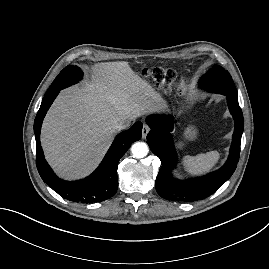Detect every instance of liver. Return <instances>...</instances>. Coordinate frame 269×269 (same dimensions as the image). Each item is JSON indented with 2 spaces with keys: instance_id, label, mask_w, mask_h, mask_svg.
Returning a JSON list of instances; mask_svg holds the SVG:
<instances>
[{
  "instance_id": "obj_1",
  "label": "liver",
  "mask_w": 269,
  "mask_h": 269,
  "mask_svg": "<svg viewBox=\"0 0 269 269\" xmlns=\"http://www.w3.org/2000/svg\"><path fill=\"white\" fill-rule=\"evenodd\" d=\"M91 81L63 90L41 131L47 161L65 179L90 174L101 162L118 123L159 110L162 98L128 62L100 63Z\"/></svg>"
}]
</instances>
